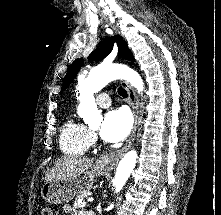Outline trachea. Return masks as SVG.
<instances>
[{
  "instance_id": "trachea-1",
  "label": "trachea",
  "mask_w": 221,
  "mask_h": 215,
  "mask_svg": "<svg viewBox=\"0 0 221 215\" xmlns=\"http://www.w3.org/2000/svg\"><path fill=\"white\" fill-rule=\"evenodd\" d=\"M118 93L124 98H126L128 96L126 90L123 88H118Z\"/></svg>"
}]
</instances>
